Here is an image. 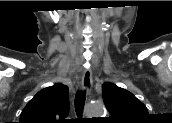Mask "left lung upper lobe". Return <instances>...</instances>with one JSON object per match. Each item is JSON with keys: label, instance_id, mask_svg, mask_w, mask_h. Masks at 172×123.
<instances>
[{"label": "left lung upper lobe", "instance_id": "obj_1", "mask_svg": "<svg viewBox=\"0 0 172 123\" xmlns=\"http://www.w3.org/2000/svg\"><path fill=\"white\" fill-rule=\"evenodd\" d=\"M103 101L111 116L109 120L116 123H133L148 116L146 106L131 92L106 82L102 85Z\"/></svg>", "mask_w": 172, "mask_h": 123}]
</instances>
